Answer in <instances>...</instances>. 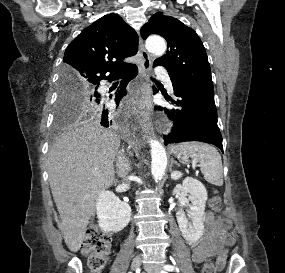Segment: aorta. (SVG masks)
Returning <instances> with one entry per match:
<instances>
[{"mask_svg":"<svg viewBox=\"0 0 285 273\" xmlns=\"http://www.w3.org/2000/svg\"><path fill=\"white\" fill-rule=\"evenodd\" d=\"M147 50L156 55L161 56L166 51V43L163 38L158 36L149 37L146 41ZM151 147V173L156 181L162 179L165 174L167 166V156L164 147L157 140L150 139L149 141Z\"/></svg>","mask_w":285,"mask_h":273,"instance_id":"aorta-1","label":"aorta"}]
</instances>
